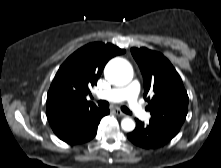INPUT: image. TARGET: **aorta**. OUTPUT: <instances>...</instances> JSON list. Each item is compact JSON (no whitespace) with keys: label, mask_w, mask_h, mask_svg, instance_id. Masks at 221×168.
<instances>
[{"label":"aorta","mask_w":221,"mask_h":168,"mask_svg":"<svg viewBox=\"0 0 221 168\" xmlns=\"http://www.w3.org/2000/svg\"><path fill=\"white\" fill-rule=\"evenodd\" d=\"M106 79L116 85H127L133 78V68L130 63L123 58H114L108 62L105 67ZM121 127L126 132H131L135 129V122L129 118H123L121 121Z\"/></svg>","instance_id":"1"}]
</instances>
